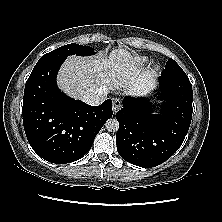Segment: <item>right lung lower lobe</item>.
I'll list each match as a JSON object with an SVG mask.
<instances>
[{"mask_svg":"<svg viewBox=\"0 0 222 222\" xmlns=\"http://www.w3.org/2000/svg\"><path fill=\"white\" fill-rule=\"evenodd\" d=\"M65 59L39 62L24 91L23 125L33 150L57 164L74 162L91 148L95 136L113 115L112 100L90 106L61 92L57 72Z\"/></svg>","mask_w":222,"mask_h":222,"instance_id":"right-lung-lower-lobe-1","label":"right lung lower lobe"}]
</instances>
